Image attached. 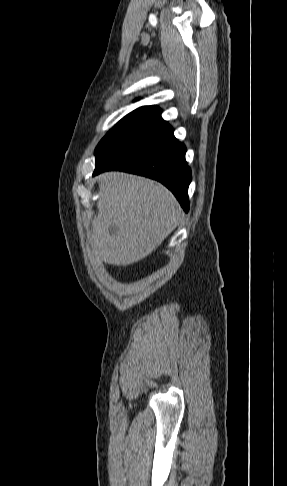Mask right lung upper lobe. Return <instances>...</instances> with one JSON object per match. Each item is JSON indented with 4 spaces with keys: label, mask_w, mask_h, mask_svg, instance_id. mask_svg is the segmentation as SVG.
Here are the masks:
<instances>
[{
    "label": "right lung upper lobe",
    "mask_w": 287,
    "mask_h": 486,
    "mask_svg": "<svg viewBox=\"0 0 287 486\" xmlns=\"http://www.w3.org/2000/svg\"><path fill=\"white\" fill-rule=\"evenodd\" d=\"M145 107H150V108H156V109H159L157 106H145Z\"/></svg>",
    "instance_id": "obj_1"
}]
</instances>
